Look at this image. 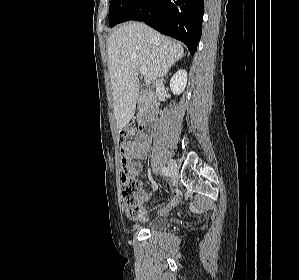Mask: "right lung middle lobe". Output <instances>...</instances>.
<instances>
[{"instance_id": "1", "label": "right lung middle lobe", "mask_w": 299, "mask_h": 280, "mask_svg": "<svg viewBox=\"0 0 299 280\" xmlns=\"http://www.w3.org/2000/svg\"><path fill=\"white\" fill-rule=\"evenodd\" d=\"M138 0H111L109 6V25L113 27L122 22L123 17Z\"/></svg>"}]
</instances>
